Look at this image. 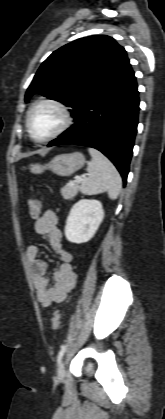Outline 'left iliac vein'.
Wrapping results in <instances>:
<instances>
[{
  "mask_svg": "<svg viewBox=\"0 0 165 419\" xmlns=\"http://www.w3.org/2000/svg\"><path fill=\"white\" fill-rule=\"evenodd\" d=\"M65 376V363L64 361H62L59 365V369H58V377L60 379L64 378Z\"/></svg>",
  "mask_w": 165,
  "mask_h": 419,
  "instance_id": "1",
  "label": "left iliac vein"
}]
</instances>
